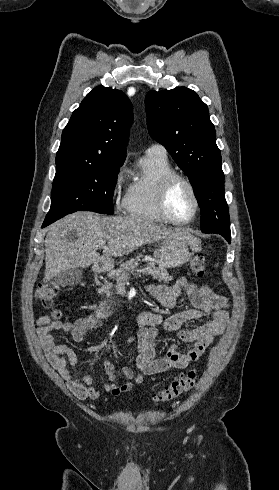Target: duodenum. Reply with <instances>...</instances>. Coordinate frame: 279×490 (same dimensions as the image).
Segmentation results:
<instances>
[{"label": "duodenum", "mask_w": 279, "mask_h": 490, "mask_svg": "<svg viewBox=\"0 0 279 490\" xmlns=\"http://www.w3.org/2000/svg\"><path fill=\"white\" fill-rule=\"evenodd\" d=\"M103 267L104 264L102 262L96 263V269L101 270L103 269ZM114 307H115V299L110 297L102 302V304L100 305L96 313L100 317H107L113 312Z\"/></svg>", "instance_id": "duodenum-1"}]
</instances>
